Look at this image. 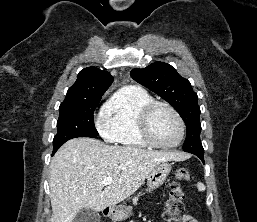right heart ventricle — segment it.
I'll use <instances>...</instances> for the list:
<instances>
[{"label": "right heart ventricle", "mask_w": 257, "mask_h": 222, "mask_svg": "<svg viewBox=\"0 0 257 222\" xmlns=\"http://www.w3.org/2000/svg\"><path fill=\"white\" fill-rule=\"evenodd\" d=\"M153 100L146 90L137 87H126L115 93L104 108L109 140L127 148H148L150 145L140 134L139 116Z\"/></svg>", "instance_id": "e07e8e85"}]
</instances>
